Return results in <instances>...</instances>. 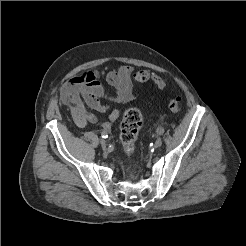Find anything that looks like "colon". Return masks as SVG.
<instances>
[{
  "label": "colon",
  "mask_w": 246,
  "mask_h": 246,
  "mask_svg": "<svg viewBox=\"0 0 246 246\" xmlns=\"http://www.w3.org/2000/svg\"><path fill=\"white\" fill-rule=\"evenodd\" d=\"M134 79L139 82L152 81L159 90L166 87V83L162 77L149 70H140L134 74ZM168 108L172 113L180 111V98H172L168 103ZM143 117L137 108H128L123 114L120 125V140L124 152L132 155L135 150V142L141 128Z\"/></svg>",
  "instance_id": "obj_1"
}]
</instances>
